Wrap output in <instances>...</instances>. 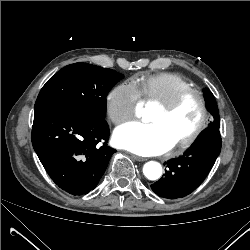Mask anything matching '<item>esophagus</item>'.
Instances as JSON below:
<instances>
[{
	"instance_id": "esophagus-1",
	"label": "esophagus",
	"mask_w": 250,
	"mask_h": 250,
	"mask_svg": "<svg viewBox=\"0 0 250 250\" xmlns=\"http://www.w3.org/2000/svg\"><path fill=\"white\" fill-rule=\"evenodd\" d=\"M131 158H132L133 160H136V161H139V162L146 161V158L140 157V156H137V155H134V154L131 155Z\"/></svg>"
}]
</instances>
